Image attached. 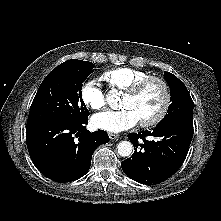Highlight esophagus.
Returning a JSON list of instances; mask_svg holds the SVG:
<instances>
[{
    "label": "esophagus",
    "instance_id": "34e87169",
    "mask_svg": "<svg viewBox=\"0 0 221 221\" xmlns=\"http://www.w3.org/2000/svg\"><path fill=\"white\" fill-rule=\"evenodd\" d=\"M109 138L111 140H117L119 138V135L115 133H109Z\"/></svg>",
    "mask_w": 221,
    "mask_h": 221
}]
</instances>
